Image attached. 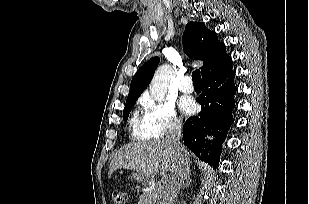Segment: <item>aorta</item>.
<instances>
[{
	"mask_svg": "<svg viewBox=\"0 0 309 204\" xmlns=\"http://www.w3.org/2000/svg\"><path fill=\"white\" fill-rule=\"evenodd\" d=\"M171 75L172 68L170 65H162L156 70L150 83V94L155 101H164Z\"/></svg>",
	"mask_w": 309,
	"mask_h": 204,
	"instance_id": "762f6f07",
	"label": "aorta"
}]
</instances>
